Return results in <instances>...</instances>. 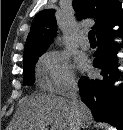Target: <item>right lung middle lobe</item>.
Listing matches in <instances>:
<instances>
[{
	"instance_id": "dd1d6c3e",
	"label": "right lung middle lobe",
	"mask_w": 123,
	"mask_h": 130,
	"mask_svg": "<svg viewBox=\"0 0 123 130\" xmlns=\"http://www.w3.org/2000/svg\"><path fill=\"white\" fill-rule=\"evenodd\" d=\"M43 53L23 57V84L33 85L35 81L34 66Z\"/></svg>"
}]
</instances>
